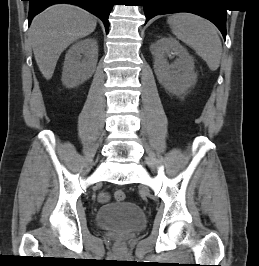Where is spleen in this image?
I'll return each mask as SVG.
<instances>
[{
	"label": "spleen",
	"mask_w": 259,
	"mask_h": 266,
	"mask_svg": "<svg viewBox=\"0 0 259 266\" xmlns=\"http://www.w3.org/2000/svg\"><path fill=\"white\" fill-rule=\"evenodd\" d=\"M172 33L192 48L211 71L220 66L222 44L216 27L208 20L192 13H177L168 18Z\"/></svg>",
	"instance_id": "3e777b00"
}]
</instances>
